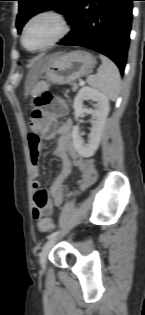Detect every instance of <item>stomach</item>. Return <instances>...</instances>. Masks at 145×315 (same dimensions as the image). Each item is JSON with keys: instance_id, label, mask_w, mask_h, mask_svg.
<instances>
[{"instance_id": "stomach-1", "label": "stomach", "mask_w": 145, "mask_h": 315, "mask_svg": "<svg viewBox=\"0 0 145 315\" xmlns=\"http://www.w3.org/2000/svg\"><path fill=\"white\" fill-rule=\"evenodd\" d=\"M49 56L50 63L40 76L57 84H70L87 76L96 64L94 56L83 50Z\"/></svg>"}]
</instances>
